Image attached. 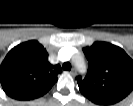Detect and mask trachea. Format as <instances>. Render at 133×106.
<instances>
[{
  "label": "trachea",
  "mask_w": 133,
  "mask_h": 106,
  "mask_svg": "<svg viewBox=\"0 0 133 106\" xmlns=\"http://www.w3.org/2000/svg\"><path fill=\"white\" fill-rule=\"evenodd\" d=\"M63 69L64 70H71V64L70 63H68V62H65L64 64H63Z\"/></svg>",
  "instance_id": "1"
}]
</instances>
